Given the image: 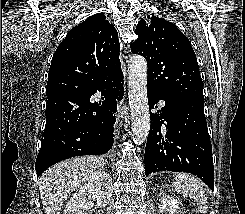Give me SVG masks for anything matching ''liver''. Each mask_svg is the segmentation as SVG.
<instances>
[{
  "label": "liver",
  "instance_id": "obj_1",
  "mask_svg": "<svg viewBox=\"0 0 245 214\" xmlns=\"http://www.w3.org/2000/svg\"><path fill=\"white\" fill-rule=\"evenodd\" d=\"M105 165L103 157L86 156L60 162L39 179V189L45 214H60L63 202Z\"/></svg>",
  "mask_w": 245,
  "mask_h": 214
}]
</instances>
